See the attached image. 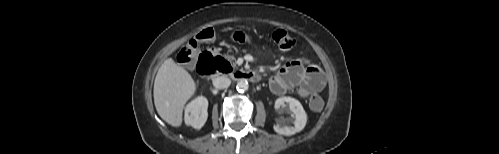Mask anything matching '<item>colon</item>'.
I'll use <instances>...</instances> for the list:
<instances>
[{
    "mask_svg": "<svg viewBox=\"0 0 499 154\" xmlns=\"http://www.w3.org/2000/svg\"><path fill=\"white\" fill-rule=\"evenodd\" d=\"M214 33L211 28H206L195 34L188 42L184 43L178 52V62L185 66H194L196 62V46L199 42L210 40ZM271 39L274 44L281 50H290L295 45L294 38L285 30L275 29L271 33ZM212 65L219 71H227L230 69V64L220 57L213 58ZM309 106L313 111H321L324 106V101L319 95L311 96Z\"/></svg>",
    "mask_w": 499,
    "mask_h": 154,
    "instance_id": "obj_1",
    "label": "colon"
}]
</instances>
